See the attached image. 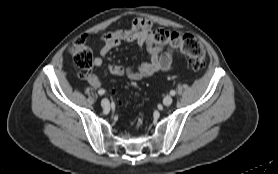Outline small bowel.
Wrapping results in <instances>:
<instances>
[{
  "label": "small bowel",
  "instance_id": "c3829d8e",
  "mask_svg": "<svg viewBox=\"0 0 278 174\" xmlns=\"http://www.w3.org/2000/svg\"><path fill=\"white\" fill-rule=\"evenodd\" d=\"M154 30L150 19L144 17L135 18L129 28H117L101 36L102 47L99 54L95 56L93 65L101 67L105 57L109 52L126 42H136L140 49L144 50L148 57V62H142L131 66L111 64L108 70L116 76H128L133 81H139L146 77H151L159 71H168L172 67L174 48H166V45L157 44L151 38ZM88 83L93 88H100L102 82L100 78L89 73L86 76Z\"/></svg>",
  "mask_w": 278,
  "mask_h": 174
}]
</instances>
